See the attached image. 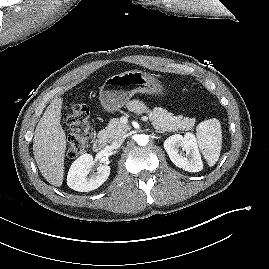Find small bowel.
Here are the masks:
<instances>
[{"label": "small bowel", "instance_id": "small-bowel-1", "mask_svg": "<svg viewBox=\"0 0 269 269\" xmlns=\"http://www.w3.org/2000/svg\"><path fill=\"white\" fill-rule=\"evenodd\" d=\"M129 107H130V109L137 111V112H140L144 109L143 103L140 101H137V100L131 101L129 104Z\"/></svg>", "mask_w": 269, "mask_h": 269}]
</instances>
